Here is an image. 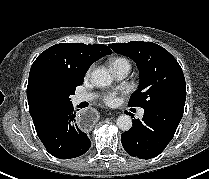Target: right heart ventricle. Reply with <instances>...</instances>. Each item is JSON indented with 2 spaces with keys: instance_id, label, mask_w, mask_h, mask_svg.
Instances as JSON below:
<instances>
[{
  "instance_id": "right-heart-ventricle-1",
  "label": "right heart ventricle",
  "mask_w": 209,
  "mask_h": 179,
  "mask_svg": "<svg viewBox=\"0 0 209 179\" xmlns=\"http://www.w3.org/2000/svg\"><path fill=\"white\" fill-rule=\"evenodd\" d=\"M115 62H126V63H128V61H127L126 59H124V58H116V59H114V60L112 61V64L115 63ZM128 64H129V63H128Z\"/></svg>"
}]
</instances>
